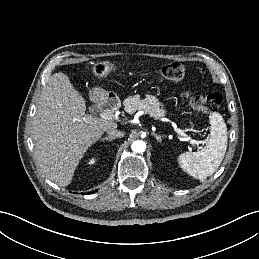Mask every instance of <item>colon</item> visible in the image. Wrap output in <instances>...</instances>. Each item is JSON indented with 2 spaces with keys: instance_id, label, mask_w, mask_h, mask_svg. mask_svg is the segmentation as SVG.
I'll list each match as a JSON object with an SVG mask.
<instances>
[{
  "instance_id": "obj_1",
  "label": "colon",
  "mask_w": 259,
  "mask_h": 259,
  "mask_svg": "<svg viewBox=\"0 0 259 259\" xmlns=\"http://www.w3.org/2000/svg\"><path fill=\"white\" fill-rule=\"evenodd\" d=\"M186 68L179 62H173L163 66L159 72L162 79L173 84L180 83L185 77ZM181 97L189 106L199 112L213 113L219 109L223 102V96L219 92H213L206 95L193 94L190 91H184Z\"/></svg>"
}]
</instances>
